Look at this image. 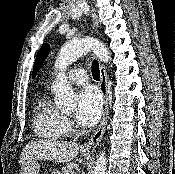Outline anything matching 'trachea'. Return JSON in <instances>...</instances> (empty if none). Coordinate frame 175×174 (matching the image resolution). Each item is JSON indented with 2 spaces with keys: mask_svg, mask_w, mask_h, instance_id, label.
<instances>
[{
  "mask_svg": "<svg viewBox=\"0 0 175 174\" xmlns=\"http://www.w3.org/2000/svg\"><path fill=\"white\" fill-rule=\"evenodd\" d=\"M92 76L95 80H99V78H100L99 64H98L97 60H95L92 63Z\"/></svg>",
  "mask_w": 175,
  "mask_h": 174,
  "instance_id": "1",
  "label": "trachea"
}]
</instances>
